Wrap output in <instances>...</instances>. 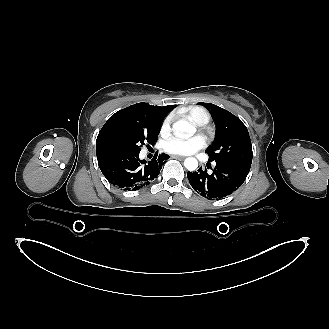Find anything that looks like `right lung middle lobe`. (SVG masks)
Instances as JSON below:
<instances>
[{"label": "right lung middle lobe", "instance_id": "obj_1", "mask_svg": "<svg viewBox=\"0 0 329 329\" xmlns=\"http://www.w3.org/2000/svg\"><path fill=\"white\" fill-rule=\"evenodd\" d=\"M162 122L154 124L147 130H120L116 131L109 137V147L113 151L140 152L141 147L147 142L153 145L157 141Z\"/></svg>", "mask_w": 329, "mask_h": 329}]
</instances>
